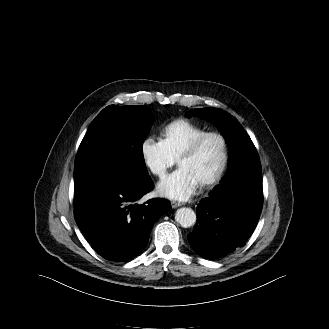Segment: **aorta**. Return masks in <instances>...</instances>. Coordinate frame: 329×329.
Instances as JSON below:
<instances>
[{
	"label": "aorta",
	"instance_id": "aorta-1",
	"mask_svg": "<svg viewBox=\"0 0 329 329\" xmlns=\"http://www.w3.org/2000/svg\"><path fill=\"white\" fill-rule=\"evenodd\" d=\"M175 220L184 228L193 226L196 223V214L191 208H180L176 211Z\"/></svg>",
	"mask_w": 329,
	"mask_h": 329
}]
</instances>
